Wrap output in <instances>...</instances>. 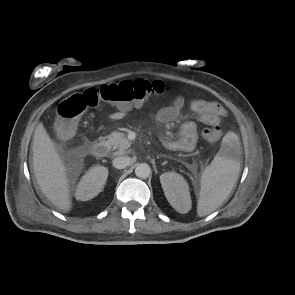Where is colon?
Wrapping results in <instances>:
<instances>
[{
	"instance_id": "5ec220e1",
	"label": "colon",
	"mask_w": 295,
	"mask_h": 295,
	"mask_svg": "<svg viewBox=\"0 0 295 295\" xmlns=\"http://www.w3.org/2000/svg\"><path fill=\"white\" fill-rule=\"evenodd\" d=\"M168 91L162 82H149L143 79L123 80L88 88L63 100L57 108L56 132L62 139H69L75 132L82 114L101 103H109L121 109L140 107L154 96ZM204 138L216 143L221 139L219 123L210 125L203 131Z\"/></svg>"
}]
</instances>
